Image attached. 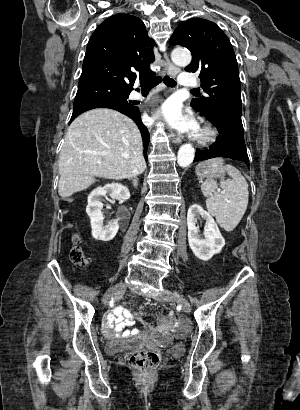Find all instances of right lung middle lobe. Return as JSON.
<instances>
[{"label": "right lung middle lobe", "mask_w": 300, "mask_h": 410, "mask_svg": "<svg viewBox=\"0 0 300 410\" xmlns=\"http://www.w3.org/2000/svg\"><path fill=\"white\" fill-rule=\"evenodd\" d=\"M131 91L122 90L101 82H79L73 107L95 101H108L128 105Z\"/></svg>", "instance_id": "dd1d6c3e"}]
</instances>
